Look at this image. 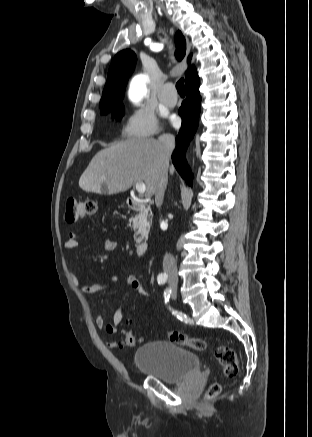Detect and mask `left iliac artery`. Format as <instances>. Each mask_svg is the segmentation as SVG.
Returning <instances> with one entry per match:
<instances>
[{
    "label": "left iliac artery",
    "mask_w": 312,
    "mask_h": 437,
    "mask_svg": "<svg viewBox=\"0 0 312 437\" xmlns=\"http://www.w3.org/2000/svg\"><path fill=\"white\" fill-rule=\"evenodd\" d=\"M170 294H171V290H168V289H167V290L164 292L165 302H168V301H169Z\"/></svg>",
    "instance_id": "left-iliac-artery-1"
}]
</instances>
